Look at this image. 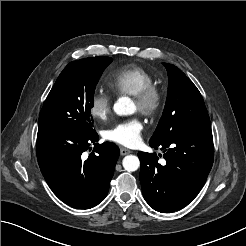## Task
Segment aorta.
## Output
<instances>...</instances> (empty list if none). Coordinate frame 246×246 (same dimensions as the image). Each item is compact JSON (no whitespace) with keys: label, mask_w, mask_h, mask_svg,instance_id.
I'll return each mask as SVG.
<instances>
[{"label":"aorta","mask_w":246,"mask_h":246,"mask_svg":"<svg viewBox=\"0 0 246 246\" xmlns=\"http://www.w3.org/2000/svg\"><path fill=\"white\" fill-rule=\"evenodd\" d=\"M114 112L117 115H132L135 113L136 107L129 97H120L114 104ZM123 167L128 172L136 171L140 166V161L135 155L125 156L122 161Z\"/></svg>","instance_id":"obj_1"}]
</instances>
